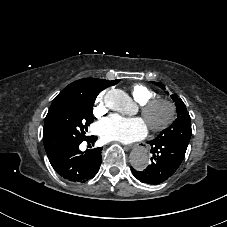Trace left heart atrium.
<instances>
[{
	"label": "left heart atrium",
	"mask_w": 227,
	"mask_h": 227,
	"mask_svg": "<svg viewBox=\"0 0 227 227\" xmlns=\"http://www.w3.org/2000/svg\"><path fill=\"white\" fill-rule=\"evenodd\" d=\"M97 133L104 141L132 143L146 137L148 124L142 118L124 119L112 115L99 122Z\"/></svg>",
	"instance_id": "left-heart-atrium-1"
}]
</instances>
